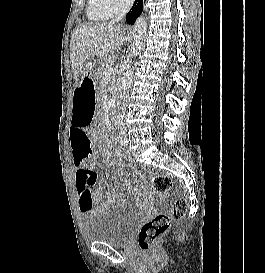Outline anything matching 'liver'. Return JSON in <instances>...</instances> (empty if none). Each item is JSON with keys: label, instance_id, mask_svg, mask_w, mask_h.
<instances>
[{"label": "liver", "instance_id": "liver-1", "mask_svg": "<svg viewBox=\"0 0 265 273\" xmlns=\"http://www.w3.org/2000/svg\"><path fill=\"white\" fill-rule=\"evenodd\" d=\"M127 39L126 29L113 23H82L76 26L70 41V59L75 82L85 73L89 61L118 52Z\"/></svg>", "mask_w": 265, "mask_h": 273}]
</instances>
